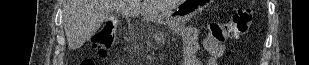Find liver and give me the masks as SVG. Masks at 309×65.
I'll list each match as a JSON object with an SVG mask.
<instances>
[{
  "label": "liver",
  "mask_w": 309,
  "mask_h": 65,
  "mask_svg": "<svg viewBox=\"0 0 309 65\" xmlns=\"http://www.w3.org/2000/svg\"><path fill=\"white\" fill-rule=\"evenodd\" d=\"M180 0H63V23L68 48H80L113 11L129 17L162 13Z\"/></svg>",
  "instance_id": "1"
}]
</instances>
